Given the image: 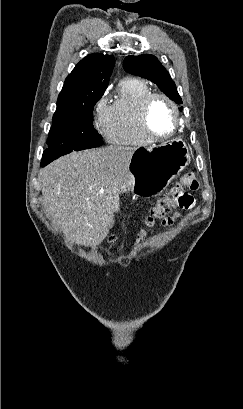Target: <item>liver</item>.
I'll use <instances>...</instances> for the list:
<instances>
[{
	"label": "liver",
	"mask_w": 243,
	"mask_h": 409,
	"mask_svg": "<svg viewBox=\"0 0 243 409\" xmlns=\"http://www.w3.org/2000/svg\"><path fill=\"white\" fill-rule=\"evenodd\" d=\"M135 150L108 146L73 152L40 170L46 212L71 241L95 246L107 236Z\"/></svg>",
	"instance_id": "6515ba94"
}]
</instances>
